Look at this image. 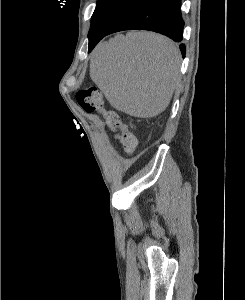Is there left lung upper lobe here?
<instances>
[{
  "label": "left lung upper lobe",
  "instance_id": "1",
  "mask_svg": "<svg viewBox=\"0 0 245 300\" xmlns=\"http://www.w3.org/2000/svg\"><path fill=\"white\" fill-rule=\"evenodd\" d=\"M139 1L140 0H97L96 8L92 15L89 34L95 31L105 33L126 10Z\"/></svg>",
  "mask_w": 245,
  "mask_h": 300
}]
</instances>
